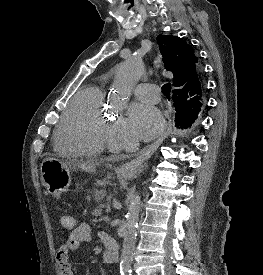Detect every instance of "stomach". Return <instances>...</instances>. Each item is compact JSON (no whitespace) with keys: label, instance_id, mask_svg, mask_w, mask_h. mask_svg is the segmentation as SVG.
<instances>
[{"label":"stomach","instance_id":"obj_1","mask_svg":"<svg viewBox=\"0 0 263 275\" xmlns=\"http://www.w3.org/2000/svg\"><path fill=\"white\" fill-rule=\"evenodd\" d=\"M41 180L47 192L55 197L68 191L71 185V172L74 167L64 161L49 157L41 163Z\"/></svg>","mask_w":263,"mask_h":275}]
</instances>
